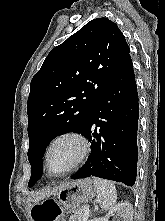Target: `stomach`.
Wrapping results in <instances>:
<instances>
[{
    "mask_svg": "<svg viewBox=\"0 0 165 221\" xmlns=\"http://www.w3.org/2000/svg\"><path fill=\"white\" fill-rule=\"evenodd\" d=\"M96 194V187L89 178L69 181L59 189L56 198L36 200L32 217H72L76 209ZM35 221H71V218H35Z\"/></svg>",
    "mask_w": 165,
    "mask_h": 221,
    "instance_id": "1",
    "label": "stomach"
}]
</instances>
